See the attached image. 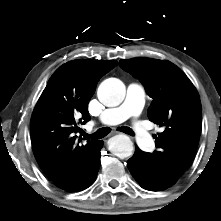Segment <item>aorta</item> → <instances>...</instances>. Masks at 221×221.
Masks as SVG:
<instances>
[{"label": "aorta", "mask_w": 221, "mask_h": 221, "mask_svg": "<svg viewBox=\"0 0 221 221\" xmlns=\"http://www.w3.org/2000/svg\"><path fill=\"white\" fill-rule=\"evenodd\" d=\"M125 93V85L121 80L108 78L99 85L97 96L103 105L114 107L122 103ZM109 150L119 158H127L133 153V143L126 135H116L109 140Z\"/></svg>", "instance_id": "762f6f07"}]
</instances>
